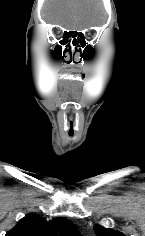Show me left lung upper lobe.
I'll return each instance as SVG.
<instances>
[{"label": "left lung upper lobe", "instance_id": "1", "mask_svg": "<svg viewBox=\"0 0 145 236\" xmlns=\"http://www.w3.org/2000/svg\"><path fill=\"white\" fill-rule=\"evenodd\" d=\"M94 230L98 236H125L119 231L113 229H106L100 225H95Z\"/></svg>", "mask_w": 145, "mask_h": 236}]
</instances>
